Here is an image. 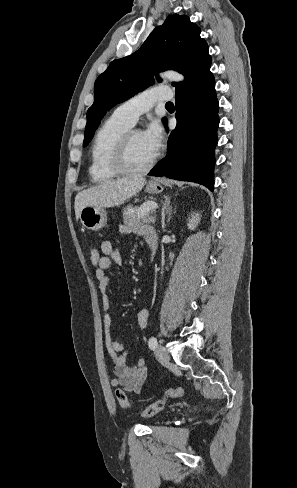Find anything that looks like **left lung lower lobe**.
I'll use <instances>...</instances> for the list:
<instances>
[{
    "label": "left lung lower lobe",
    "mask_w": 297,
    "mask_h": 488,
    "mask_svg": "<svg viewBox=\"0 0 297 488\" xmlns=\"http://www.w3.org/2000/svg\"><path fill=\"white\" fill-rule=\"evenodd\" d=\"M218 110L212 73L198 79L191 89L177 93V126L170 133L167 155L148 175L192 181L212 190Z\"/></svg>",
    "instance_id": "0a47b994"
}]
</instances>
